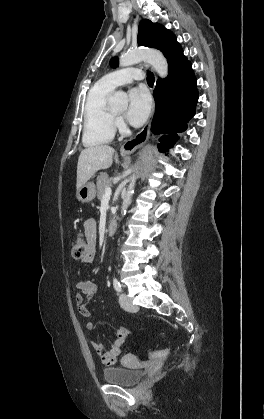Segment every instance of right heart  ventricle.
Returning <instances> with one entry per match:
<instances>
[{"label":"right heart ventricle","mask_w":264,"mask_h":419,"mask_svg":"<svg viewBox=\"0 0 264 419\" xmlns=\"http://www.w3.org/2000/svg\"><path fill=\"white\" fill-rule=\"evenodd\" d=\"M112 90L99 81L88 92L82 137L86 147L103 145L114 138L116 118L107 104L108 96Z\"/></svg>","instance_id":"e07e8e85"}]
</instances>
